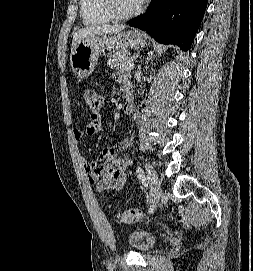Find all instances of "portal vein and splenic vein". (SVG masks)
I'll use <instances>...</instances> for the list:
<instances>
[{
  "label": "portal vein and splenic vein",
  "mask_w": 253,
  "mask_h": 271,
  "mask_svg": "<svg viewBox=\"0 0 253 271\" xmlns=\"http://www.w3.org/2000/svg\"><path fill=\"white\" fill-rule=\"evenodd\" d=\"M123 70H131V69H133L134 68V63H132V62H129L128 64H126V65H123Z\"/></svg>",
  "instance_id": "portal-vein-and-splenic-vein-1"
}]
</instances>
